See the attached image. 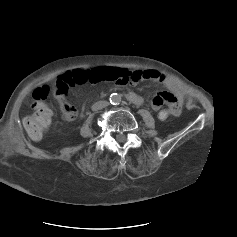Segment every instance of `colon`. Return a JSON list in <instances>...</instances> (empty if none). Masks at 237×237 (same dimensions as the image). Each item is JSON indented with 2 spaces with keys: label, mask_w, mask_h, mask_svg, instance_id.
Segmentation results:
<instances>
[{
  "label": "colon",
  "mask_w": 237,
  "mask_h": 237,
  "mask_svg": "<svg viewBox=\"0 0 237 237\" xmlns=\"http://www.w3.org/2000/svg\"><path fill=\"white\" fill-rule=\"evenodd\" d=\"M134 79L125 70L117 68H97L92 70H75L61 75L53 85H43L33 92V112L26 116L23 125L33 139H40L47 131L52 120V111L47 104V99L51 94L65 97L69 88L74 85L100 82H113L119 85H126L133 82ZM63 111L69 115H76V107L67 103ZM173 111L163 109L158 112V119L166 121Z\"/></svg>",
  "instance_id": "5ec220e1"
}]
</instances>
